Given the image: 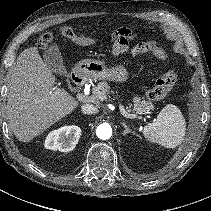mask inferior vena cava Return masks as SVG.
<instances>
[{
	"label": "inferior vena cava",
	"mask_w": 211,
	"mask_h": 211,
	"mask_svg": "<svg viewBox=\"0 0 211 211\" xmlns=\"http://www.w3.org/2000/svg\"><path fill=\"white\" fill-rule=\"evenodd\" d=\"M81 111L84 114H95L98 112L97 107H95L94 105H90V104H84L81 106Z\"/></svg>",
	"instance_id": "1"
}]
</instances>
